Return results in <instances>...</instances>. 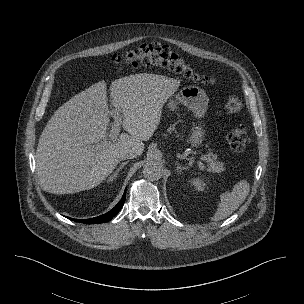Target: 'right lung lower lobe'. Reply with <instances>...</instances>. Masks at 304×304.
<instances>
[{"label": "right lung lower lobe", "instance_id": "98d812e1", "mask_svg": "<svg viewBox=\"0 0 304 304\" xmlns=\"http://www.w3.org/2000/svg\"><path fill=\"white\" fill-rule=\"evenodd\" d=\"M126 199V191L124 192L121 200L118 202V204L109 212H107L104 215L98 216V217H94L91 219H72L69 218L72 221H76V222H80V223H84V224H99V223H105L110 221L114 216L117 215V213L120 211V209L122 208V206L124 205Z\"/></svg>", "mask_w": 304, "mask_h": 304}]
</instances>
